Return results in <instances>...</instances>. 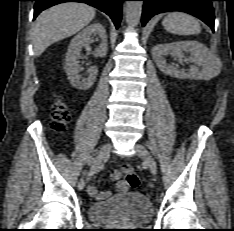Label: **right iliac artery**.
Masks as SVG:
<instances>
[{
  "label": "right iliac artery",
  "mask_w": 234,
  "mask_h": 231,
  "mask_svg": "<svg viewBox=\"0 0 234 231\" xmlns=\"http://www.w3.org/2000/svg\"><path fill=\"white\" fill-rule=\"evenodd\" d=\"M88 161H89V165H91V168L87 174V181H89L93 176H95L100 168V166L93 164V161H94L93 157H90Z\"/></svg>",
  "instance_id": "1"
}]
</instances>
